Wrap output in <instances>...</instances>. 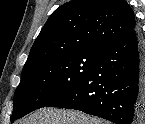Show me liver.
Returning a JSON list of instances; mask_svg holds the SVG:
<instances>
[{
  "mask_svg": "<svg viewBox=\"0 0 145 124\" xmlns=\"http://www.w3.org/2000/svg\"><path fill=\"white\" fill-rule=\"evenodd\" d=\"M21 124H102L96 119L70 110L43 109L35 112Z\"/></svg>",
  "mask_w": 145,
  "mask_h": 124,
  "instance_id": "1",
  "label": "liver"
}]
</instances>
